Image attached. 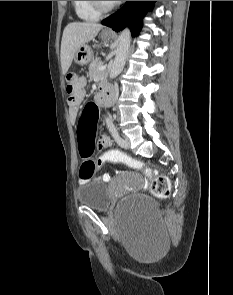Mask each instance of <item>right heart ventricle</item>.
<instances>
[{"label":"right heart ventricle","instance_id":"right-heart-ventricle-1","mask_svg":"<svg viewBox=\"0 0 233 295\" xmlns=\"http://www.w3.org/2000/svg\"><path fill=\"white\" fill-rule=\"evenodd\" d=\"M75 14L85 21H96L100 14L93 9L89 1H72Z\"/></svg>","mask_w":233,"mask_h":295}]
</instances>
